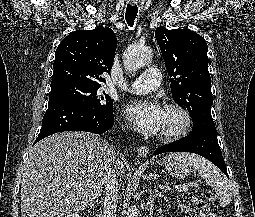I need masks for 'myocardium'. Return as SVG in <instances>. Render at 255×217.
Returning a JSON list of instances; mask_svg holds the SVG:
<instances>
[{"mask_svg": "<svg viewBox=\"0 0 255 217\" xmlns=\"http://www.w3.org/2000/svg\"><path fill=\"white\" fill-rule=\"evenodd\" d=\"M165 110L176 111L181 118V124L174 130L160 133L159 139L163 142H172L185 136L192 125V119L189 111L178 102H170L165 105Z\"/></svg>", "mask_w": 255, "mask_h": 217, "instance_id": "f54148a6", "label": "myocardium"}]
</instances>
